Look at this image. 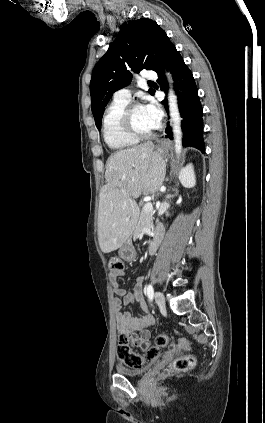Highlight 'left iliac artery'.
Wrapping results in <instances>:
<instances>
[{"mask_svg":"<svg viewBox=\"0 0 265 423\" xmlns=\"http://www.w3.org/2000/svg\"><path fill=\"white\" fill-rule=\"evenodd\" d=\"M146 292H147V296H148L149 300L152 301L153 295H154V289H153V286L151 284H149L147 286Z\"/></svg>","mask_w":265,"mask_h":423,"instance_id":"44dca946","label":"left iliac artery"}]
</instances>
